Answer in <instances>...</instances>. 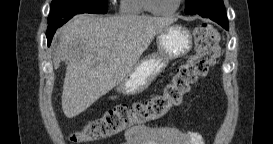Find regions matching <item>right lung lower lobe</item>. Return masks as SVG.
Returning a JSON list of instances; mask_svg holds the SVG:
<instances>
[{
	"mask_svg": "<svg viewBox=\"0 0 273 144\" xmlns=\"http://www.w3.org/2000/svg\"><path fill=\"white\" fill-rule=\"evenodd\" d=\"M73 16V15H72ZM72 16H69L63 20L60 21V23L56 26V29L60 26H62L64 23H66ZM55 29V31H56ZM54 32L50 33V34H47V41H48V46L50 45L51 41H52V38H53V35H54Z\"/></svg>",
	"mask_w": 273,
	"mask_h": 144,
	"instance_id": "obj_1",
	"label": "right lung lower lobe"
}]
</instances>
